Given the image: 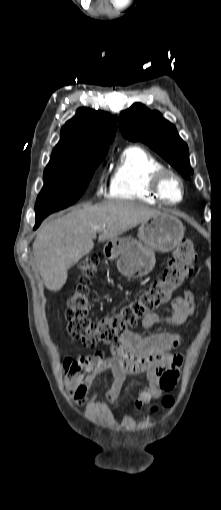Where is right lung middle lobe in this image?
<instances>
[{"label":"right lung middle lobe","mask_w":221,"mask_h":510,"mask_svg":"<svg viewBox=\"0 0 221 510\" xmlns=\"http://www.w3.org/2000/svg\"><path fill=\"white\" fill-rule=\"evenodd\" d=\"M107 152L50 161L44 170V186L37 197L36 217L47 216L74 204L86 190Z\"/></svg>","instance_id":"right-lung-middle-lobe-1"}]
</instances>
